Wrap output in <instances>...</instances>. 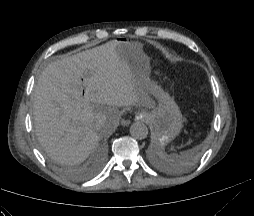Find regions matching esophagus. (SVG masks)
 <instances>
[{
    "instance_id": "obj_1",
    "label": "esophagus",
    "mask_w": 254,
    "mask_h": 216,
    "mask_svg": "<svg viewBox=\"0 0 254 216\" xmlns=\"http://www.w3.org/2000/svg\"><path fill=\"white\" fill-rule=\"evenodd\" d=\"M144 117H145V115H144L143 113H140V114H139V118H140V119H142V120H143V119H144ZM122 124H123V125H128V124H129V122H128V121L123 120V121H122Z\"/></svg>"
}]
</instances>
